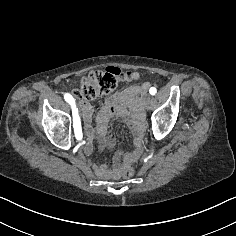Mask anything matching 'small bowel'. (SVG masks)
I'll return each instance as SVG.
<instances>
[{
    "instance_id": "obj_1",
    "label": "small bowel",
    "mask_w": 236,
    "mask_h": 236,
    "mask_svg": "<svg viewBox=\"0 0 236 236\" xmlns=\"http://www.w3.org/2000/svg\"><path fill=\"white\" fill-rule=\"evenodd\" d=\"M117 69V68H116ZM120 79L125 81H138L140 74L132 71H121ZM149 84L142 82L140 85L128 86L109 96L96 115V127L92 126L93 106L86 100L81 101L86 142L84 152L90 155L93 152V138L97 137L99 149H110L115 144V138L108 133L110 118H119L131 130L134 139V150L128 154L117 153L113 165L94 164L95 173L101 178H115L123 166L136 160L144 148L145 116L144 101Z\"/></svg>"
}]
</instances>
